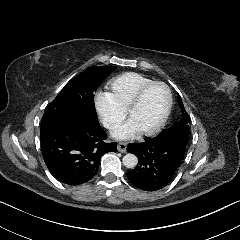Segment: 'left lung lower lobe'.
Returning a JSON list of instances; mask_svg holds the SVG:
<instances>
[{
	"instance_id": "obj_1",
	"label": "left lung lower lobe",
	"mask_w": 240,
	"mask_h": 240,
	"mask_svg": "<svg viewBox=\"0 0 240 240\" xmlns=\"http://www.w3.org/2000/svg\"><path fill=\"white\" fill-rule=\"evenodd\" d=\"M189 139L160 135L143 143L128 144L127 151L138 158L135 169L126 173L130 182L144 191L165 187L174 177Z\"/></svg>"
}]
</instances>
